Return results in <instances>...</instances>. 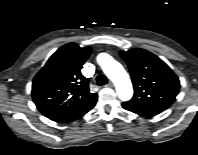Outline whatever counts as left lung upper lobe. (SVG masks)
<instances>
[{
    "mask_svg": "<svg viewBox=\"0 0 198 155\" xmlns=\"http://www.w3.org/2000/svg\"><path fill=\"white\" fill-rule=\"evenodd\" d=\"M127 63L134 86V96L122 105L139 115L154 116L174 102L180 82L173 71L156 55L136 48L120 51Z\"/></svg>",
    "mask_w": 198,
    "mask_h": 155,
    "instance_id": "left-lung-upper-lobe-1",
    "label": "left lung upper lobe"
}]
</instances>
